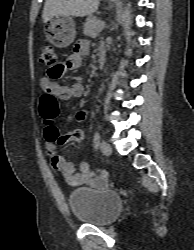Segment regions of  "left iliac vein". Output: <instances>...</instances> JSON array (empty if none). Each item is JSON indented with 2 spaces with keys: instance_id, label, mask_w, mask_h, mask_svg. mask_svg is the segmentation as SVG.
I'll return each instance as SVG.
<instances>
[{
  "instance_id": "left-iliac-vein-1",
  "label": "left iliac vein",
  "mask_w": 194,
  "mask_h": 250,
  "mask_svg": "<svg viewBox=\"0 0 194 250\" xmlns=\"http://www.w3.org/2000/svg\"><path fill=\"white\" fill-rule=\"evenodd\" d=\"M100 147H101V151L105 155H110L112 153V148H111L110 144L107 143L106 141H102Z\"/></svg>"
}]
</instances>
